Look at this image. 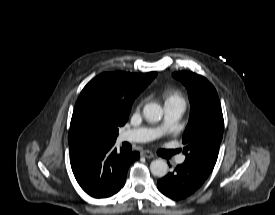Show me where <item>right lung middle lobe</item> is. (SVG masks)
Wrapping results in <instances>:
<instances>
[{
	"label": "right lung middle lobe",
	"instance_id": "1",
	"mask_svg": "<svg viewBox=\"0 0 275 215\" xmlns=\"http://www.w3.org/2000/svg\"><path fill=\"white\" fill-rule=\"evenodd\" d=\"M85 137L89 145L105 142L104 131L101 126L96 123H91L87 126Z\"/></svg>",
	"mask_w": 275,
	"mask_h": 215
}]
</instances>
